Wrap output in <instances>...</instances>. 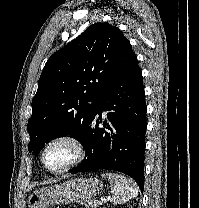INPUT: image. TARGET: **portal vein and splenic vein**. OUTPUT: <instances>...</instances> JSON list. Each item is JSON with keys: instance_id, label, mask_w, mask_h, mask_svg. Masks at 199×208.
<instances>
[{"instance_id": "obj_1", "label": "portal vein and splenic vein", "mask_w": 199, "mask_h": 208, "mask_svg": "<svg viewBox=\"0 0 199 208\" xmlns=\"http://www.w3.org/2000/svg\"><path fill=\"white\" fill-rule=\"evenodd\" d=\"M97 204H98V205H101V204H102V201H97Z\"/></svg>"}]
</instances>
